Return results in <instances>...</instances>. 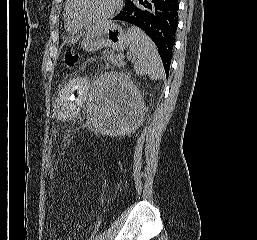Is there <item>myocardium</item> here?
I'll return each instance as SVG.
<instances>
[{
    "label": "myocardium",
    "instance_id": "myocardium-1",
    "mask_svg": "<svg viewBox=\"0 0 257 240\" xmlns=\"http://www.w3.org/2000/svg\"><path fill=\"white\" fill-rule=\"evenodd\" d=\"M67 3H68V15H69L71 21L74 24H76L77 26L83 28V27H91V26L100 24V23L110 19L116 13V11L119 9L121 0H114L111 9L107 13L103 14L102 16H100L98 18L88 20V21L81 20L76 16V14L74 12L75 0H67Z\"/></svg>",
    "mask_w": 257,
    "mask_h": 240
}]
</instances>
